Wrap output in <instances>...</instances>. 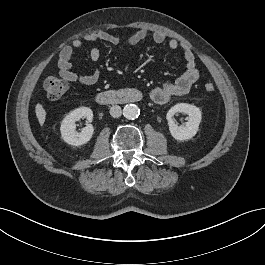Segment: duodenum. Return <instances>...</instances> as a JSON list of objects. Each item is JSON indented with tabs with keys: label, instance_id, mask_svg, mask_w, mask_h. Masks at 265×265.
I'll use <instances>...</instances> for the list:
<instances>
[{
	"label": "duodenum",
	"instance_id": "1",
	"mask_svg": "<svg viewBox=\"0 0 265 265\" xmlns=\"http://www.w3.org/2000/svg\"><path fill=\"white\" fill-rule=\"evenodd\" d=\"M142 98L138 90H109L96 95L95 99L101 105L128 104L140 101Z\"/></svg>",
	"mask_w": 265,
	"mask_h": 265
}]
</instances>
